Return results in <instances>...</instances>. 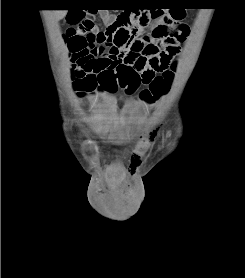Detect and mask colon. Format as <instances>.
Masks as SVG:
<instances>
[{"label":"colon","instance_id":"obj_1","mask_svg":"<svg viewBox=\"0 0 245 278\" xmlns=\"http://www.w3.org/2000/svg\"><path fill=\"white\" fill-rule=\"evenodd\" d=\"M171 16L178 21L184 18V13L181 10H174ZM159 18L160 13L156 8L122 11L107 28L97 31L95 35L91 33L83 39L76 32L93 31L96 30V26L91 20L85 18L82 11H71L65 17L67 30L63 34V40L72 60L77 59L80 52L91 56L102 55L103 51L98 50L96 45L126 48L130 52L146 48L148 54L159 55L164 51L162 45L165 44L166 50L177 52L185 36L173 26L170 20L156 24ZM141 33L143 35L139 37ZM90 69L91 65H86L83 69L72 70L71 80L78 95L87 92L92 86L87 74ZM174 71L175 67L172 66L160 74L150 72L142 76L129 74L128 77L119 79L118 88L126 93H133L140 82H144L147 87L141 91L140 96L144 101L152 103L168 92ZM149 151L150 145L146 140H140L135 148L138 155H146Z\"/></svg>","mask_w":245,"mask_h":278}]
</instances>
